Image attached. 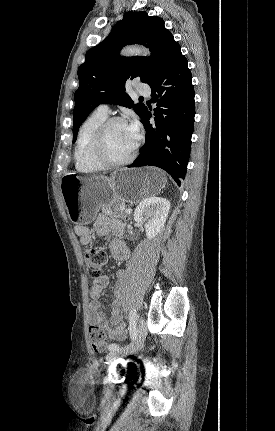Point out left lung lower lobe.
<instances>
[{
	"label": "left lung lower lobe",
	"instance_id": "left-lung-lower-lobe-1",
	"mask_svg": "<svg viewBox=\"0 0 275 431\" xmlns=\"http://www.w3.org/2000/svg\"><path fill=\"white\" fill-rule=\"evenodd\" d=\"M192 76L180 45L172 50L169 59L149 83L156 103L155 124L146 109L142 123L146 142L141 153L129 167L156 166L167 171L180 186L185 178L194 129L195 101Z\"/></svg>",
	"mask_w": 275,
	"mask_h": 431
}]
</instances>
